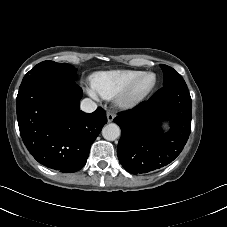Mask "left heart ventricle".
I'll return each instance as SVG.
<instances>
[{
	"mask_svg": "<svg viewBox=\"0 0 227 227\" xmlns=\"http://www.w3.org/2000/svg\"><path fill=\"white\" fill-rule=\"evenodd\" d=\"M151 81H152V77L151 76L144 78L140 82L139 87H138V90L144 89L146 86H148L151 83Z\"/></svg>",
	"mask_w": 227,
	"mask_h": 227,
	"instance_id": "left-heart-ventricle-1",
	"label": "left heart ventricle"
}]
</instances>
